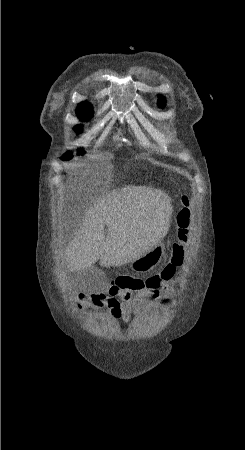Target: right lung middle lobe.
<instances>
[{
    "label": "right lung middle lobe",
    "mask_w": 245,
    "mask_h": 450,
    "mask_svg": "<svg viewBox=\"0 0 245 450\" xmlns=\"http://www.w3.org/2000/svg\"><path fill=\"white\" fill-rule=\"evenodd\" d=\"M80 118L85 119V118H89L92 116V109L86 110L80 114H77ZM81 126H76L74 128L75 131L80 132ZM79 155H83L84 152H79ZM72 154L71 153H66L63 157H61V159L64 160H69L71 159Z\"/></svg>",
    "instance_id": "1"
}]
</instances>
